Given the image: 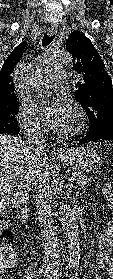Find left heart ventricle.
<instances>
[{
  "label": "left heart ventricle",
  "mask_w": 113,
  "mask_h": 279,
  "mask_svg": "<svg viewBox=\"0 0 113 279\" xmlns=\"http://www.w3.org/2000/svg\"><path fill=\"white\" fill-rule=\"evenodd\" d=\"M74 123H75V118H74V120H73L71 126H70L66 131H69V130L74 126Z\"/></svg>",
  "instance_id": "left-heart-ventricle-1"
}]
</instances>
